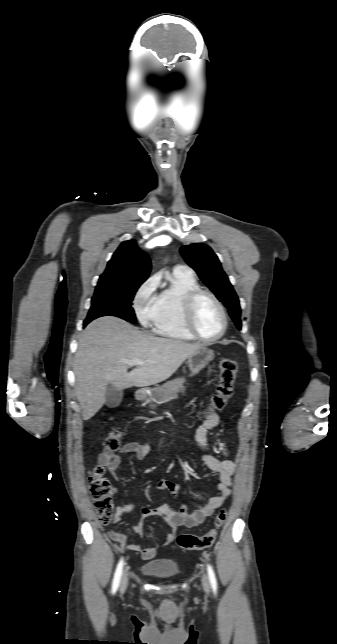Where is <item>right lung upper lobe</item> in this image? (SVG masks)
<instances>
[{
  "label": "right lung upper lobe",
  "instance_id": "right-lung-upper-lobe-1",
  "mask_svg": "<svg viewBox=\"0 0 337 644\" xmlns=\"http://www.w3.org/2000/svg\"><path fill=\"white\" fill-rule=\"evenodd\" d=\"M151 262L138 248L135 240L124 241L113 254L98 285H128L143 283L149 276Z\"/></svg>",
  "mask_w": 337,
  "mask_h": 644
}]
</instances>
